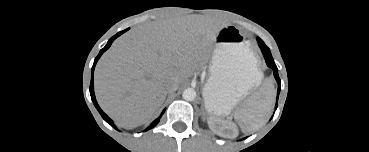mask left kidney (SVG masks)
I'll list each match as a JSON object with an SVG mask.
<instances>
[{"label":"left kidney","instance_id":"left-kidney-1","mask_svg":"<svg viewBox=\"0 0 369 152\" xmlns=\"http://www.w3.org/2000/svg\"><path fill=\"white\" fill-rule=\"evenodd\" d=\"M209 128L217 135L221 137L232 138L238 135V130L234 123L230 121H224L219 118L209 117L208 120Z\"/></svg>","mask_w":369,"mask_h":152}]
</instances>
